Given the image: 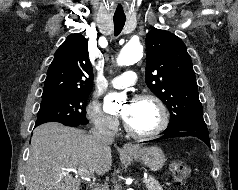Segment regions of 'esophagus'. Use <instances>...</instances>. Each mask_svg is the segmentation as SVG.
Listing matches in <instances>:
<instances>
[{
    "mask_svg": "<svg viewBox=\"0 0 238 190\" xmlns=\"http://www.w3.org/2000/svg\"><path fill=\"white\" fill-rule=\"evenodd\" d=\"M122 150L124 152H131V151L136 150V146L132 143H125L122 147Z\"/></svg>",
    "mask_w": 238,
    "mask_h": 190,
    "instance_id": "esophagus-1",
    "label": "esophagus"
}]
</instances>
